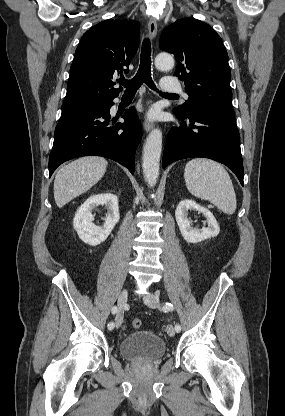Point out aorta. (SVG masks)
Returning a JSON list of instances; mask_svg holds the SVG:
<instances>
[{
	"label": "aorta",
	"instance_id": "aorta-1",
	"mask_svg": "<svg viewBox=\"0 0 285 416\" xmlns=\"http://www.w3.org/2000/svg\"><path fill=\"white\" fill-rule=\"evenodd\" d=\"M157 69L166 71L174 67V59L167 53H160L155 58ZM162 151V132L154 129L150 132L143 147L142 169L145 181L148 186H155L160 166V157Z\"/></svg>",
	"mask_w": 285,
	"mask_h": 416
}]
</instances>
